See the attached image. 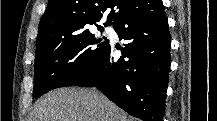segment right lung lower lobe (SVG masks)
Returning a JSON list of instances; mask_svg holds the SVG:
<instances>
[{"label":"right lung lower lobe","mask_w":217,"mask_h":121,"mask_svg":"<svg viewBox=\"0 0 217 121\" xmlns=\"http://www.w3.org/2000/svg\"><path fill=\"white\" fill-rule=\"evenodd\" d=\"M114 29L127 40L123 57L114 59L109 44L99 61L75 86L97 87L130 115L162 121L171 64V37L162 0H143L122 16Z\"/></svg>","instance_id":"98d812e1"}]
</instances>
